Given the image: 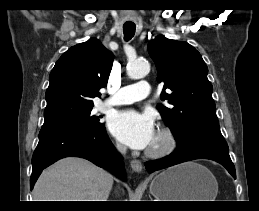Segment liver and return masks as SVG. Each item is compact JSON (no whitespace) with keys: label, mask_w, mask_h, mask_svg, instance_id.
<instances>
[{"label":"liver","mask_w":259,"mask_h":211,"mask_svg":"<svg viewBox=\"0 0 259 211\" xmlns=\"http://www.w3.org/2000/svg\"><path fill=\"white\" fill-rule=\"evenodd\" d=\"M111 174L82 158L61 159L42 172L33 189L34 201H107Z\"/></svg>","instance_id":"6515ba94"}]
</instances>
